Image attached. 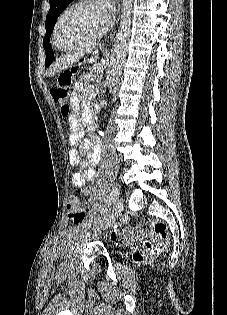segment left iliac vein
I'll return each mask as SVG.
<instances>
[{
	"instance_id": "1",
	"label": "left iliac vein",
	"mask_w": 227,
	"mask_h": 315,
	"mask_svg": "<svg viewBox=\"0 0 227 315\" xmlns=\"http://www.w3.org/2000/svg\"><path fill=\"white\" fill-rule=\"evenodd\" d=\"M114 193H116V200L114 201V205L108 215L105 217V220L102 224V228L106 229L110 227L115 220L120 216L122 210H123V199L119 197V189L116 187L112 190Z\"/></svg>"
}]
</instances>
